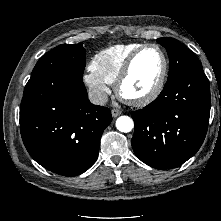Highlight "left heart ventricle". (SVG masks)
<instances>
[{"mask_svg":"<svg viewBox=\"0 0 221 221\" xmlns=\"http://www.w3.org/2000/svg\"><path fill=\"white\" fill-rule=\"evenodd\" d=\"M162 69V57L156 48H147L136 59L122 91L131 98L141 97L155 86Z\"/></svg>","mask_w":221,"mask_h":221,"instance_id":"obj_1","label":"left heart ventricle"}]
</instances>
